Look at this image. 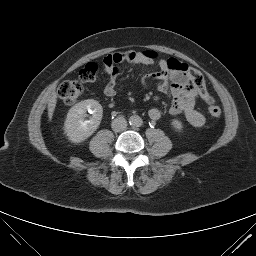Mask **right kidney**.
Instances as JSON below:
<instances>
[{"mask_svg":"<svg viewBox=\"0 0 256 256\" xmlns=\"http://www.w3.org/2000/svg\"><path fill=\"white\" fill-rule=\"evenodd\" d=\"M87 111L93 114L90 120H85ZM102 115L103 108L96 100L88 99L75 104L64 123L66 136L73 143L85 141L98 129Z\"/></svg>","mask_w":256,"mask_h":256,"instance_id":"1","label":"right kidney"}]
</instances>
